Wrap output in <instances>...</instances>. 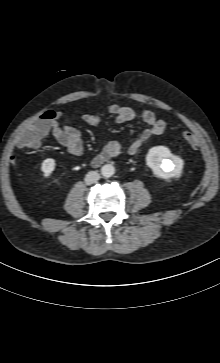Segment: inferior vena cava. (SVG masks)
<instances>
[{
  "label": "inferior vena cava",
  "mask_w": 220,
  "mask_h": 363,
  "mask_svg": "<svg viewBox=\"0 0 220 363\" xmlns=\"http://www.w3.org/2000/svg\"><path fill=\"white\" fill-rule=\"evenodd\" d=\"M99 178H100L99 173H97L96 171H90L85 176V183L87 185L94 184L99 180Z\"/></svg>",
  "instance_id": "602c4592"
}]
</instances>
